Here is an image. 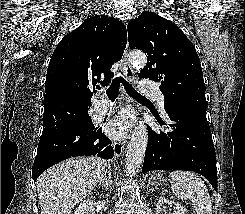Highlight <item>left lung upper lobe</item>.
Instances as JSON below:
<instances>
[{"instance_id":"left-lung-upper-lobe-1","label":"left lung upper lobe","mask_w":245,"mask_h":214,"mask_svg":"<svg viewBox=\"0 0 245 214\" xmlns=\"http://www.w3.org/2000/svg\"><path fill=\"white\" fill-rule=\"evenodd\" d=\"M127 29L129 47L147 54L146 67L139 77L161 82L166 112L208 107L199 57L178 26L157 14L143 12L129 22Z\"/></svg>"}]
</instances>
